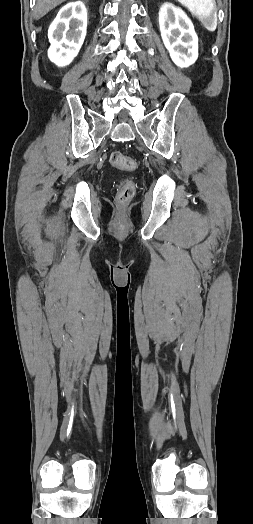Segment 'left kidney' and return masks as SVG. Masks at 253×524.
I'll return each mask as SVG.
<instances>
[{
	"label": "left kidney",
	"mask_w": 253,
	"mask_h": 524,
	"mask_svg": "<svg viewBox=\"0 0 253 524\" xmlns=\"http://www.w3.org/2000/svg\"><path fill=\"white\" fill-rule=\"evenodd\" d=\"M159 27L172 61L180 68L195 63L198 58V37L187 15L166 2L159 10Z\"/></svg>",
	"instance_id": "obj_1"
}]
</instances>
